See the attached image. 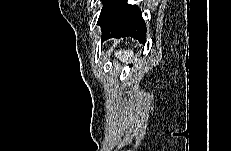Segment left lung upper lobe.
<instances>
[{"instance_id": "1", "label": "left lung upper lobe", "mask_w": 231, "mask_h": 151, "mask_svg": "<svg viewBox=\"0 0 231 151\" xmlns=\"http://www.w3.org/2000/svg\"><path fill=\"white\" fill-rule=\"evenodd\" d=\"M109 1H110V0H102L103 8H102V10H101V13H100V16H99V19H98L97 24H98V23L100 22V20L102 19V16H103V14H104L105 8H106V6H107V4H108Z\"/></svg>"}]
</instances>
